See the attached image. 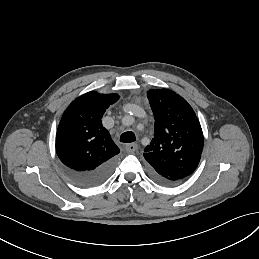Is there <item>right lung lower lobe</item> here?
<instances>
[{
    "mask_svg": "<svg viewBox=\"0 0 259 259\" xmlns=\"http://www.w3.org/2000/svg\"><path fill=\"white\" fill-rule=\"evenodd\" d=\"M115 165L116 159L113 158L94 170L75 171L66 167L65 173L76 184L82 187H93L105 182L112 174Z\"/></svg>",
    "mask_w": 259,
    "mask_h": 259,
    "instance_id": "obj_1",
    "label": "right lung lower lobe"
}]
</instances>
